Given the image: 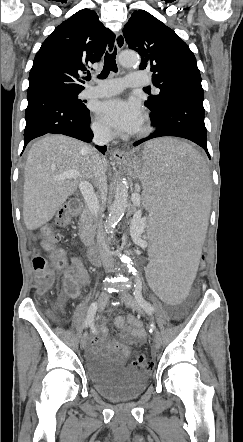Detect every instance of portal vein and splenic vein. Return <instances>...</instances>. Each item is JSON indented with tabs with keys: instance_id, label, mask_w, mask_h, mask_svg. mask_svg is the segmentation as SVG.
<instances>
[{
	"instance_id": "1",
	"label": "portal vein and splenic vein",
	"mask_w": 243,
	"mask_h": 442,
	"mask_svg": "<svg viewBox=\"0 0 243 442\" xmlns=\"http://www.w3.org/2000/svg\"><path fill=\"white\" fill-rule=\"evenodd\" d=\"M79 176V172L76 170H70L62 174L54 176L55 179H76ZM80 191L84 196L85 202L92 213H96L98 210L97 203L95 201L94 192L91 184L88 181H82L79 185ZM135 200L140 199L137 193H134Z\"/></svg>"
}]
</instances>
